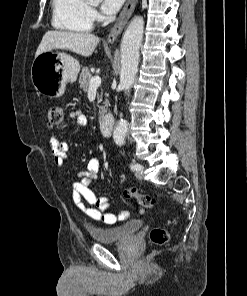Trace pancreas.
<instances>
[{
  "instance_id": "obj_1",
  "label": "pancreas",
  "mask_w": 247,
  "mask_h": 296,
  "mask_svg": "<svg viewBox=\"0 0 247 296\" xmlns=\"http://www.w3.org/2000/svg\"><path fill=\"white\" fill-rule=\"evenodd\" d=\"M91 79H92V74L90 73V70L87 67H84L82 69L80 77H79L80 88L84 92H88ZM98 98H100V101H102V93L100 95H98ZM103 104H104V106H101L99 109V116L100 117H102L107 111L108 100H105L103 102Z\"/></svg>"
}]
</instances>
